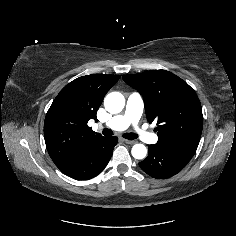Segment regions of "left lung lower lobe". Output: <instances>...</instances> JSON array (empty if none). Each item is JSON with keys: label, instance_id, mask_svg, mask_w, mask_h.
Instances as JSON below:
<instances>
[{"label": "left lung lower lobe", "instance_id": "left-lung-lower-lobe-1", "mask_svg": "<svg viewBox=\"0 0 236 236\" xmlns=\"http://www.w3.org/2000/svg\"><path fill=\"white\" fill-rule=\"evenodd\" d=\"M196 149V146L149 145V155L139 166L156 179L169 178L187 165Z\"/></svg>", "mask_w": 236, "mask_h": 236}]
</instances>
